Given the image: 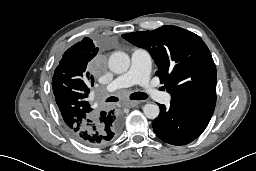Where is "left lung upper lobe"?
Instances as JSON below:
<instances>
[{
    "label": "left lung upper lobe",
    "instance_id": "5c2ea615",
    "mask_svg": "<svg viewBox=\"0 0 256 171\" xmlns=\"http://www.w3.org/2000/svg\"><path fill=\"white\" fill-rule=\"evenodd\" d=\"M152 55L156 75L171 93L172 101L212 115L216 104L217 73L210 51L196 34L173 25L153 31L122 35Z\"/></svg>",
    "mask_w": 256,
    "mask_h": 171
}]
</instances>
